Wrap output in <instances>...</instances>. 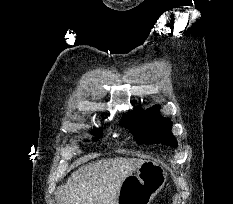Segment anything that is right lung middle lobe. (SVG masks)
<instances>
[{
  "label": "right lung middle lobe",
  "instance_id": "obj_1",
  "mask_svg": "<svg viewBox=\"0 0 233 204\" xmlns=\"http://www.w3.org/2000/svg\"><path fill=\"white\" fill-rule=\"evenodd\" d=\"M94 135H96L97 137H101L102 132L100 130H95ZM94 140H97V138H95Z\"/></svg>",
  "mask_w": 233,
  "mask_h": 204
}]
</instances>
